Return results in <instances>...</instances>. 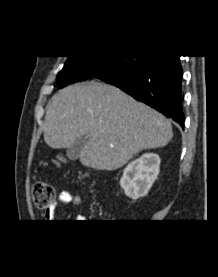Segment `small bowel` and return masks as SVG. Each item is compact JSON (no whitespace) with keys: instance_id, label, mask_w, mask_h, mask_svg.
<instances>
[{"instance_id":"1","label":"small bowel","mask_w":218,"mask_h":277,"mask_svg":"<svg viewBox=\"0 0 218 277\" xmlns=\"http://www.w3.org/2000/svg\"><path fill=\"white\" fill-rule=\"evenodd\" d=\"M82 202V198L78 194H73L69 190H62L55 202L45 209L44 216L46 220H53L56 217V210L59 203L69 204L72 206H79Z\"/></svg>"}]
</instances>
